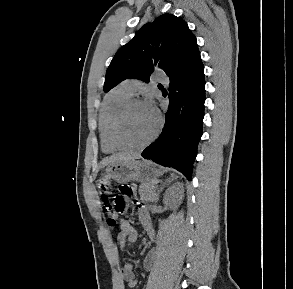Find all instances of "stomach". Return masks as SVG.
Returning a JSON list of instances; mask_svg holds the SVG:
<instances>
[{"label": "stomach", "instance_id": "0dacf381", "mask_svg": "<svg viewBox=\"0 0 293 289\" xmlns=\"http://www.w3.org/2000/svg\"><path fill=\"white\" fill-rule=\"evenodd\" d=\"M163 174V171L146 160L118 161L109 165L106 174L98 181V188L104 194H111V181L127 183L152 182Z\"/></svg>", "mask_w": 293, "mask_h": 289}]
</instances>
